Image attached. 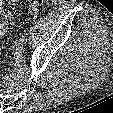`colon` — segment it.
Here are the masks:
<instances>
[{"mask_svg": "<svg viewBox=\"0 0 113 113\" xmlns=\"http://www.w3.org/2000/svg\"><path fill=\"white\" fill-rule=\"evenodd\" d=\"M13 1V0H11ZM18 1V0H15ZM45 0H30V4H29V11L32 15H36L39 12V8L41 7V5L44 3ZM0 27L3 29V25L4 24V20L0 18Z\"/></svg>", "mask_w": 113, "mask_h": 113, "instance_id": "5ec220e1", "label": "colon"}]
</instances>
